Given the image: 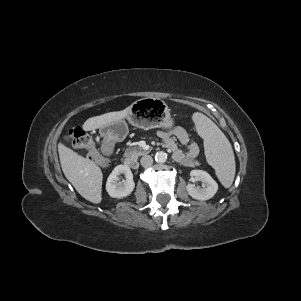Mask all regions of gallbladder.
<instances>
[{"instance_id": "gallbladder-1", "label": "gallbladder", "mask_w": 301, "mask_h": 301, "mask_svg": "<svg viewBox=\"0 0 301 301\" xmlns=\"http://www.w3.org/2000/svg\"><path fill=\"white\" fill-rule=\"evenodd\" d=\"M65 139H66V140H68V137H67V136H65Z\"/></svg>"}]
</instances>
